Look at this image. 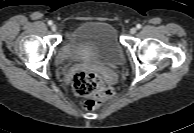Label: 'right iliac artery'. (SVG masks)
Instances as JSON below:
<instances>
[{"instance_id":"82829eb1","label":"right iliac artery","mask_w":194,"mask_h":133,"mask_svg":"<svg viewBox=\"0 0 194 133\" xmlns=\"http://www.w3.org/2000/svg\"><path fill=\"white\" fill-rule=\"evenodd\" d=\"M53 24V22L50 20V21H48V25H52Z\"/></svg>"}]
</instances>
